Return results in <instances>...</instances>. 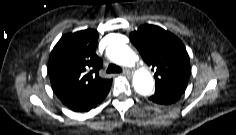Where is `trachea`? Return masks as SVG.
I'll use <instances>...</instances> for the list:
<instances>
[{
  "instance_id": "obj_1",
  "label": "trachea",
  "mask_w": 236,
  "mask_h": 135,
  "mask_svg": "<svg viewBox=\"0 0 236 135\" xmlns=\"http://www.w3.org/2000/svg\"><path fill=\"white\" fill-rule=\"evenodd\" d=\"M107 73H120V72H122V69H121V67H119V66H117V65H115V64H110L109 66H108V68H107V71H106Z\"/></svg>"
}]
</instances>
